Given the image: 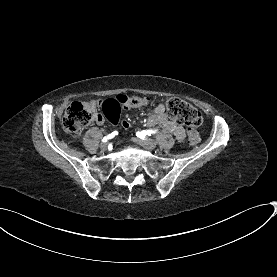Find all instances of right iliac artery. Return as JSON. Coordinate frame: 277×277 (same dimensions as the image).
<instances>
[{
  "instance_id": "82829eb1",
  "label": "right iliac artery",
  "mask_w": 277,
  "mask_h": 277,
  "mask_svg": "<svg viewBox=\"0 0 277 277\" xmlns=\"http://www.w3.org/2000/svg\"><path fill=\"white\" fill-rule=\"evenodd\" d=\"M118 134V132L117 131H114V132H112L111 134H109L108 136H105L103 139H102V141L103 142H106V141H108L109 139H111V138H113L114 136H116Z\"/></svg>"
}]
</instances>
